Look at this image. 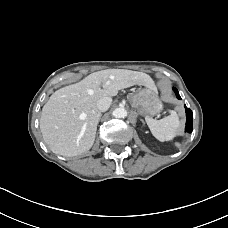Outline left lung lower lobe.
I'll return each instance as SVG.
<instances>
[{
    "instance_id": "obj_1",
    "label": "left lung lower lobe",
    "mask_w": 228,
    "mask_h": 228,
    "mask_svg": "<svg viewBox=\"0 0 228 228\" xmlns=\"http://www.w3.org/2000/svg\"><path fill=\"white\" fill-rule=\"evenodd\" d=\"M173 90L176 93L177 98L178 99H181L180 96H179V93H178L177 89L176 88H173ZM185 108H186V117H187L185 131L191 133L192 130H193V125H192V122H193V114H192V111L189 108H187L186 106H185Z\"/></svg>"
}]
</instances>
